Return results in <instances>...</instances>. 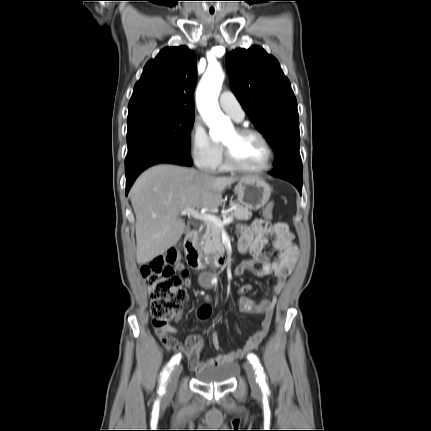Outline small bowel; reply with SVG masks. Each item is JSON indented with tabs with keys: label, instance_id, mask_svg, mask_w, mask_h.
<instances>
[{
	"label": "small bowel",
	"instance_id": "obj_1",
	"mask_svg": "<svg viewBox=\"0 0 431 431\" xmlns=\"http://www.w3.org/2000/svg\"><path fill=\"white\" fill-rule=\"evenodd\" d=\"M268 236L272 237V246L277 251V256L274 259H270L263 254V249L268 243ZM238 248L241 253L247 254L249 257L235 267L234 275L240 276L244 272L249 271L257 277H276L277 281L272 288V296L275 298L282 291L286 279L295 266L297 257L294 235L290 232L287 224L283 222L272 223L270 218L256 219L250 225L240 228ZM178 267L181 269L185 285L191 287L192 280L188 270L183 268L181 264ZM252 290L253 286L251 284H244L239 287V310L244 314H257L263 318L260 328L240 348L201 361L204 340L200 335L192 334L184 342H180L172 336L178 330L171 324L157 328L156 334L167 350L185 355L190 368L195 371L215 367L242 358L255 350L265 338L274 310V302L271 300L265 299L255 302L249 296ZM206 301H210V298L207 297ZM182 314L183 310L179 309L174 322H178ZM211 343L216 350H221L215 333L211 335Z\"/></svg>",
	"mask_w": 431,
	"mask_h": 431
}]
</instances>
